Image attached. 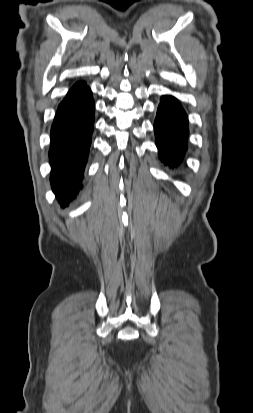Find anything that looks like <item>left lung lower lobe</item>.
<instances>
[{
	"label": "left lung lower lobe",
	"instance_id": "0a47b994",
	"mask_svg": "<svg viewBox=\"0 0 253 413\" xmlns=\"http://www.w3.org/2000/svg\"><path fill=\"white\" fill-rule=\"evenodd\" d=\"M154 131L161 161L170 167L180 165L187 149L188 119L176 98L162 96Z\"/></svg>",
	"mask_w": 253,
	"mask_h": 413
}]
</instances>
